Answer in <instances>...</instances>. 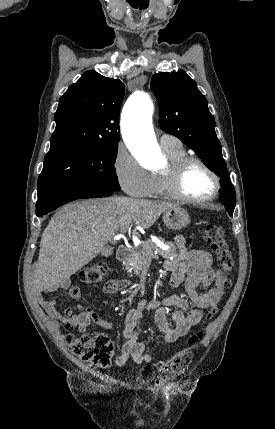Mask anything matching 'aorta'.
Segmentation results:
<instances>
[{
    "mask_svg": "<svg viewBox=\"0 0 275 429\" xmlns=\"http://www.w3.org/2000/svg\"><path fill=\"white\" fill-rule=\"evenodd\" d=\"M154 105L144 92H137L126 102L121 116L123 139L142 166L154 170L160 165L161 151L153 127Z\"/></svg>",
    "mask_w": 275,
    "mask_h": 429,
    "instance_id": "obj_1",
    "label": "aorta"
}]
</instances>
